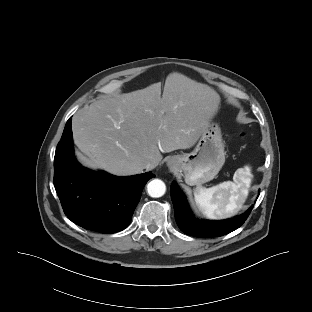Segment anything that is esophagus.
<instances>
[{"label": "esophagus", "instance_id": "34e87169", "mask_svg": "<svg viewBox=\"0 0 312 312\" xmlns=\"http://www.w3.org/2000/svg\"><path fill=\"white\" fill-rule=\"evenodd\" d=\"M168 165H171V161H168Z\"/></svg>", "mask_w": 312, "mask_h": 312}]
</instances>
